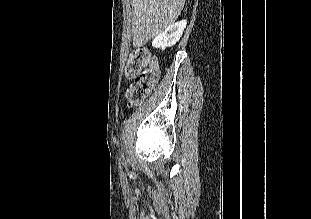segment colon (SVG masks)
Segmentation results:
<instances>
[{"label":"colon","instance_id":"5ec220e1","mask_svg":"<svg viewBox=\"0 0 311 219\" xmlns=\"http://www.w3.org/2000/svg\"><path fill=\"white\" fill-rule=\"evenodd\" d=\"M124 74L134 80L126 89V98L129 107H136L148 98L158 82L160 71L150 50L139 47L129 55Z\"/></svg>","mask_w":311,"mask_h":219}]
</instances>
